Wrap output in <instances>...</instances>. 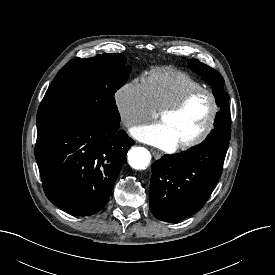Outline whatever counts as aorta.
<instances>
[{
  "instance_id": "1",
  "label": "aorta",
  "mask_w": 275,
  "mask_h": 275,
  "mask_svg": "<svg viewBox=\"0 0 275 275\" xmlns=\"http://www.w3.org/2000/svg\"><path fill=\"white\" fill-rule=\"evenodd\" d=\"M151 161V155L146 148L133 147L128 152V162L136 170H144Z\"/></svg>"
}]
</instances>
